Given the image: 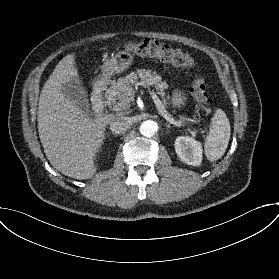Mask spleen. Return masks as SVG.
Instances as JSON below:
<instances>
[{"label":"spleen","instance_id":"1","mask_svg":"<svg viewBox=\"0 0 279 279\" xmlns=\"http://www.w3.org/2000/svg\"><path fill=\"white\" fill-rule=\"evenodd\" d=\"M230 133L231 127L225 112L222 109L216 110L204 145L205 155L209 161H216L224 155Z\"/></svg>","mask_w":279,"mask_h":279}]
</instances>
